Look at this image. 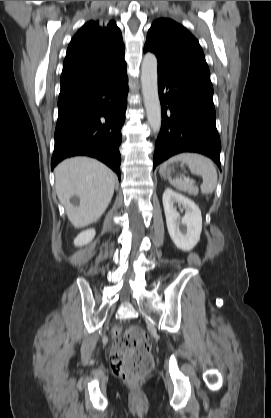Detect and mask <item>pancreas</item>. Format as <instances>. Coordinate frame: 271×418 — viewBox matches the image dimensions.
Returning <instances> with one entry per match:
<instances>
[{
    "instance_id": "cf45deb5",
    "label": "pancreas",
    "mask_w": 271,
    "mask_h": 418,
    "mask_svg": "<svg viewBox=\"0 0 271 418\" xmlns=\"http://www.w3.org/2000/svg\"><path fill=\"white\" fill-rule=\"evenodd\" d=\"M197 192H198V189L196 187H193L190 193L196 194Z\"/></svg>"
}]
</instances>
